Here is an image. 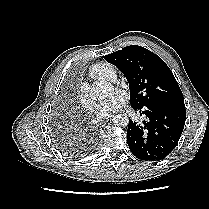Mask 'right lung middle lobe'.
Returning <instances> with one entry per match:
<instances>
[{
    "label": "right lung middle lobe",
    "instance_id": "right-lung-middle-lobe-1",
    "mask_svg": "<svg viewBox=\"0 0 209 209\" xmlns=\"http://www.w3.org/2000/svg\"><path fill=\"white\" fill-rule=\"evenodd\" d=\"M58 143V147L59 149L63 152L66 153L70 156H77L79 155L81 152L78 150L77 147H73L72 145H70L69 143L65 142L64 140L61 142H57Z\"/></svg>",
    "mask_w": 209,
    "mask_h": 209
}]
</instances>
